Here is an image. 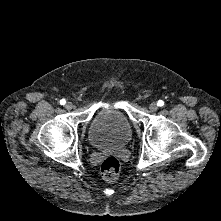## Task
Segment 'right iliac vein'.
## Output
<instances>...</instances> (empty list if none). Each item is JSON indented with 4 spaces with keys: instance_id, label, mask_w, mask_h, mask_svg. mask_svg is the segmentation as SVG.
Listing matches in <instances>:
<instances>
[{
    "instance_id": "obj_1",
    "label": "right iliac vein",
    "mask_w": 221,
    "mask_h": 221,
    "mask_svg": "<svg viewBox=\"0 0 221 221\" xmlns=\"http://www.w3.org/2000/svg\"><path fill=\"white\" fill-rule=\"evenodd\" d=\"M65 108L67 110H71L73 108V104L71 102H67L66 105H65Z\"/></svg>"
}]
</instances>
